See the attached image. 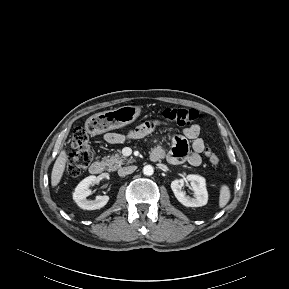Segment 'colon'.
<instances>
[{
	"mask_svg": "<svg viewBox=\"0 0 289 289\" xmlns=\"http://www.w3.org/2000/svg\"><path fill=\"white\" fill-rule=\"evenodd\" d=\"M165 120L178 126L188 125L201 118V114L195 109L166 108L162 112ZM94 128V126H91ZM70 146L73 152L69 155L66 165V174L70 177L79 176L92 161V150L89 144L88 133L85 128L74 129ZM206 155L213 165L219 163V157L210 148H206Z\"/></svg>",
	"mask_w": 289,
	"mask_h": 289,
	"instance_id": "5ec220e1",
	"label": "colon"
}]
</instances>
